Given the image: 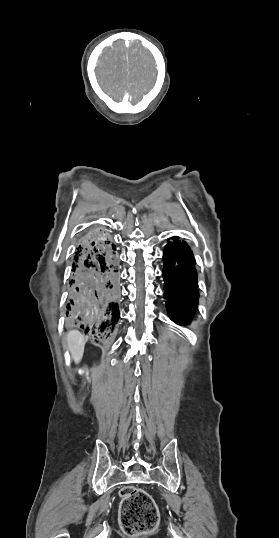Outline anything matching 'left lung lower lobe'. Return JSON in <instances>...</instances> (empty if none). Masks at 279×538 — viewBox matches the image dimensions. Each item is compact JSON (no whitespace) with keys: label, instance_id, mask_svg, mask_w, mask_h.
I'll list each match as a JSON object with an SVG mask.
<instances>
[{"label":"left lung lower lobe","instance_id":"0a47b994","mask_svg":"<svg viewBox=\"0 0 279 538\" xmlns=\"http://www.w3.org/2000/svg\"><path fill=\"white\" fill-rule=\"evenodd\" d=\"M163 254L164 298L170 318L190 323L198 303L197 272L192 251L185 242L172 237Z\"/></svg>","mask_w":279,"mask_h":538}]
</instances>
